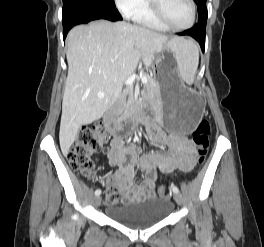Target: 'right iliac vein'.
I'll list each match as a JSON object with an SVG mask.
<instances>
[{"mask_svg": "<svg viewBox=\"0 0 264 247\" xmlns=\"http://www.w3.org/2000/svg\"><path fill=\"white\" fill-rule=\"evenodd\" d=\"M101 198L99 196L94 197L93 204L95 207H98L100 205Z\"/></svg>", "mask_w": 264, "mask_h": 247, "instance_id": "right-iliac-vein-1", "label": "right iliac vein"}]
</instances>
